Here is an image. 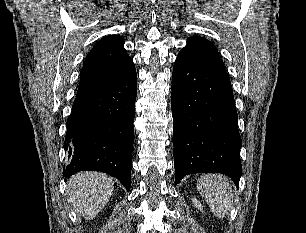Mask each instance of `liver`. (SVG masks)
Listing matches in <instances>:
<instances>
[{"mask_svg": "<svg viewBox=\"0 0 306 233\" xmlns=\"http://www.w3.org/2000/svg\"><path fill=\"white\" fill-rule=\"evenodd\" d=\"M114 190L113 179L99 172H81L69 179L68 199L75 211L91 220L104 208Z\"/></svg>", "mask_w": 306, "mask_h": 233, "instance_id": "obj_1", "label": "liver"}]
</instances>
